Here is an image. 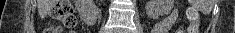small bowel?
Segmentation results:
<instances>
[{
  "label": "small bowel",
  "instance_id": "1",
  "mask_svg": "<svg viewBox=\"0 0 235 33\" xmlns=\"http://www.w3.org/2000/svg\"><path fill=\"white\" fill-rule=\"evenodd\" d=\"M177 16V10H172V12L166 18L153 27L151 33H170L177 20Z\"/></svg>",
  "mask_w": 235,
  "mask_h": 33
}]
</instances>
